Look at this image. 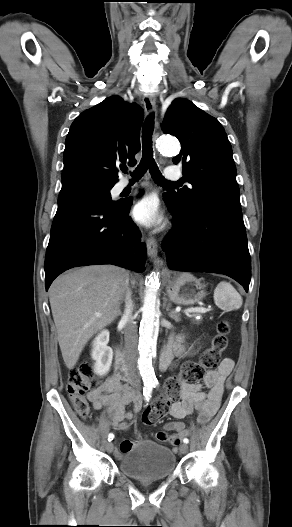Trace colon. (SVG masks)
Listing matches in <instances>:
<instances>
[{"label":"colon","mask_w":292,"mask_h":527,"mask_svg":"<svg viewBox=\"0 0 292 527\" xmlns=\"http://www.w3.org/2000/svg\"><path fill=\"white\" fill-rule=\"evenodd\" d=\"M229 334V322L227 320L220 321L211 347L202 354L200 360L184 364L179 374L167 381L166 393L159 396L144 410L142 422L145 425L157 424L168 413L171 402L178 398V390L181 383L197 385L207 372L214 370L219 365L222 353L228 347ZM66 388L75 411L82 418H86L90 412L86 393L98 388V381L95 377L93 366L90 363H82L73 367L69 371Z\"/></svg>","instance_id":"1"}]
</instances>
